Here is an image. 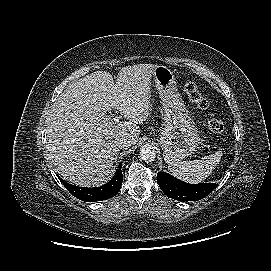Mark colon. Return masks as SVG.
Instances as JSON below:
<instances>
[{
  "label": "colon",
  "mask_w": 271,
  "mask_h": 271,
  "mask_svg": "<svg viewBox=\"0 0 271 271\" xmlns=\"http://www.w3.org/2000/svg\"><path fill=\"white\" fill-rule=\"evenodd\" d=\"M185 92L190 100L206 113L209 131L215 135L222 134L225 130V125L210 108V102L203 97L197 84L192 81L187 82L185 84Z\"/></svg>",
  "instance_id": "5ec220e1"
}]
</instances>
